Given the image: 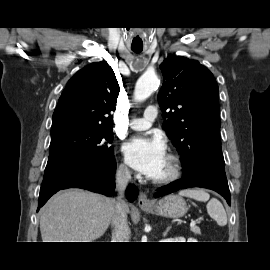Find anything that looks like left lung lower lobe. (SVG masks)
<instances>
[{"mask_svg":"<svg viewBox=\"0 0 270 270\" xmlns=\"http://www.w3.org/2000/svg\"><path fill=\"white\" fill-rule=\"evenodd\" d=\"M189 187H202L214 190L222 195L230 205V191L225 174L224 158L208 157L193 167L185 168L182 179L163 186V189L156 192L154 197H161Z\"/></svg>","mask_w":270,"mask_h":270,"instance_id":"left-lung-lower-lobe-1","label":"left lung lower lobe"}]
</instances>
